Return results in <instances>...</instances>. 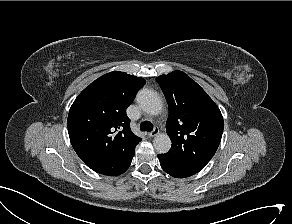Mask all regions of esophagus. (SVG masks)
<instances>
[{"mask_svg": "<svg viewBox=\"0 0 292 224\" xmlns=\"http://www.w3.org/2000/svg\"><path fill=\"white\" fill-rule=\"evenodd\" d=\"M158 134H159V128L158 127H155L153 131H151V132L148 133V136L149 137H154V136H156Z\"/></svg>", "mask_w": 292, "mask_h": 224, "instance_id": "obj_1", "label": "esophagus"}]
</instances>
